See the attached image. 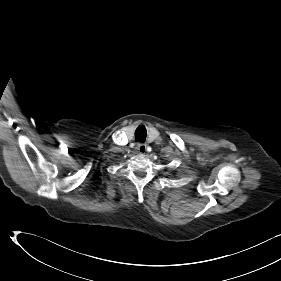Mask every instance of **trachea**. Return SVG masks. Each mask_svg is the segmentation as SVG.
<instances>
[{
    "mask_svg": "<svg viewBox=\"0 0 281 281\" xmlns=\"http://www.w3.org/2000/svg\"><path fill=\"white\" fill-rule=\"evenodd\" d=\"M135 135L138 141H144L146 137V129L143 126L138 127Z\"/></svg>",
    "mask_w": 281,
    "mask_h": 281,
    "instance_id": "trachea-1",
    "label": "trachea"
}]
</instances>
